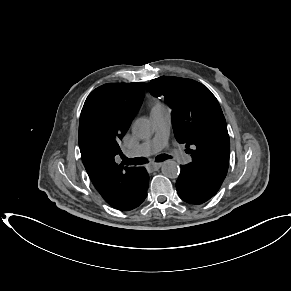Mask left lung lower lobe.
<instances>
[{
  "instance_id": "1",
  "label": "left lung lower lobe",
  "mask_w": 291,
  "mask_h": 291,
  "mask_svg": "<svg viewBox=\"0 0 291 291\" xmlns=\"http://www.w3.org/2000/svg\"><path fill=\"white\" fill-rule=\"evenodd\" d=\"M222 183L223 181L187 164L181 165L176 189L183 201L198 205L212 198L218 192Z\"/></svg>"
}]
</instances>
